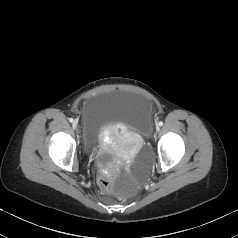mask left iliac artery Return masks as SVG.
<instances>
[{"mask_svg": "<svg viewBox=\"0 0 238 238\" xmlns=\"http://www.w3.org/2000/svg\"><path fill=\"white\" fill-rule=\"evenodd\" d=\"M159 125H160V126H162V125H163V122H162V121H160V122H159Z\"/></svg>", "mask_w": 238, "mask_h": 238, "instance_id": "obj_1", "label": "left iliac artery"}]
</instances>
